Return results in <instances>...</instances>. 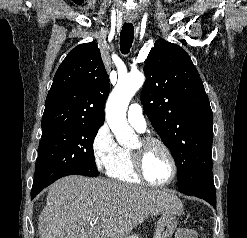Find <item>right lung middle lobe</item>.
<instances>
[{
	"mask_svg": "<svg viewBox=\"0 0 247 238\" xmlns=\"http://www.w3.org/2000/svg\"><path fill=\"white\" fill-rule=\"evenodd\" d=\"M101 125L78 123L42 129L31 193H39L63 176H98L93 141Z\"/></svg>",
	"mask_w": 247,
	"mask_h": 238,
	"instance_id": "right-lung-middle-lobe-1",
	"label": "right lung middle lobe"
}]
</instances>
